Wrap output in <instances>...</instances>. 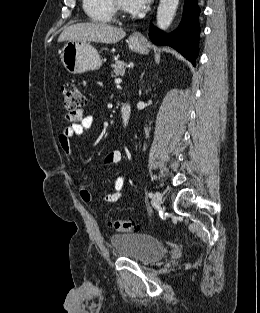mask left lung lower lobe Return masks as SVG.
<instances>
[{"mask_svg": "<svg viewBox=\"0 0 260 313\" xmlns=\"http://www.w3.org/2000/svg\"><path fill=\"white\" fill-rule=\"evenodd\" d=\"M199 14L200 8L197 5V0H185L183 16L178 29L166 36L152 26L149 30L150 39L155 44L169 45L175 48L195 65V59L199 52Z\"/></svg>", "mask_w": 260, "mask_h": 313, "instance_id": "left-lung-lower-lobe-1", "label": "left lung lower lobe"}]
</instances>
